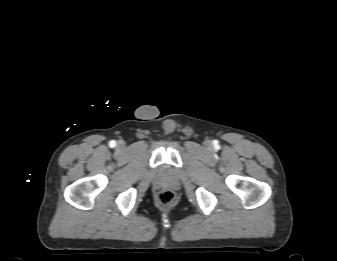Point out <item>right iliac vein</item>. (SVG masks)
I'll return each instance as SVG.
<instances>
[{
	"mask_svg": "<svg viewBox=\"0 0 337 261\" xmlns=\"http://www.w3.org/2000/svg\"><path fill=\"white\" fill-rule=\"evenodd\" d=\"M125 147V142L124 141H119L118 143V148H124Z\"/></svg>",
	"mask_w": 337,
	"mask_h": 261,
	"instance_id": "1",
	"label": "right iliac vein"
}]
</instances>
